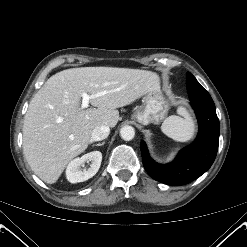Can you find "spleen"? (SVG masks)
<instances>
[{"instance_id": "1", "label": "spleen", "mask_w": 247, "mask_h": 247, "mask_svg": "<svg viewBox=\"0 0 247 247\" xmlns=\"http://www.w3.org/2000/svg\"><path fill=\"white\" fill-rule=\"evenodd\" d=\"M177 113L178 115H171L164 120L161 130L177 142H188L194 136V121L184 106H179Z\"/></svg>"}]
</instances>
